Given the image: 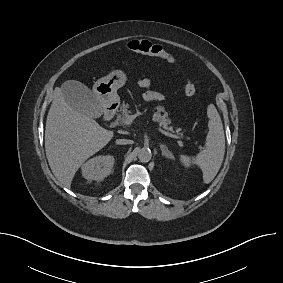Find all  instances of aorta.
<instances>
[{
    "mask_svg": "<svg viewBox=\"0 0 283 283\" xmlns=\"http://www.w3.org/2000/svg\"><path fill=\"white\" fill-rule=\"evenodd\" d=\"M152 157V153L148 148H142L138 152V158L141 162H148Z\"/></svg>",
    "mask_w": 283,
    "mask_h": 283,
    "instance_id": "762f6f07",
    "label": "aorta"
}]
</instances>
